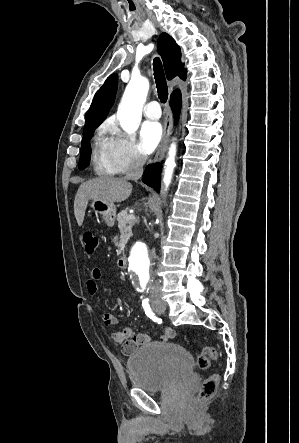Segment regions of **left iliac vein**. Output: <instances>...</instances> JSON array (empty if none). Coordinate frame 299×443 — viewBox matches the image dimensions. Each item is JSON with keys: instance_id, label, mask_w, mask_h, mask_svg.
<instances>
[{"instance_id": "obj_1", "label": "left iliac vein", "mask_w": 299, "mask_h": 443, "mask_svg": "<svg viewBox=\"0 0 299 443\" xmlns=\"http://www.w3.org/2000/svg\"><path fill=\"white\" fill-rule=\"evenodd\" d=\"M153 308H154V310H155L156 312H158V313L161 312V311H159V310L156 308V306H154Z\"/></svg>"}]
</instances>
